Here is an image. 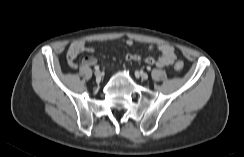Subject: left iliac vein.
Returning <instances> with one entry per match:
<instances>
[{
	"instance_id": "1",
	"label": "left iliac vein",
	"mask_w": 244,
	"mask_h": 157,
	"mask_svg": "<svg viewBox=\"0 0 244 157\" xmlns=\"http://www.w3.org/2000/svg\"><path fill=\"white\" fill-rule=\"evenodd\" d=\"M139 76L141 77L142 80L148 79V74H146L145 72L140 71Z\"/></svg>"
}]
</instances>
